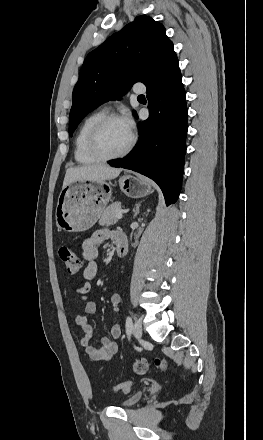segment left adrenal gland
Listing matches in <instances>:
<instances>
[{
    "instance_id": "left-adrenal-gland-1",
    "label": "left adrenal gland",
    "mask_w": 263,
    "mask_h": 440,
    "mask_svg": "<svg viewBox=\"0 0 263 440\" xmlns=\"http://www.w3.org/2000/svg\"><path fill=\"white\" fill-rule=\"evenodd\" d=\"M141 203L142 201L136 204V208L134 209V218L139 214Z\"/></svg>"
}]
</instances>
